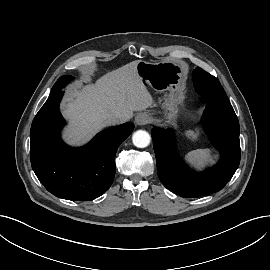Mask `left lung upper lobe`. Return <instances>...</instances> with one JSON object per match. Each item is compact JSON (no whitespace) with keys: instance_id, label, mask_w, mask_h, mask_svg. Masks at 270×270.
I'll use <instances>...</instances> for the list:
<instances>
[{"instance_id":"1","label":"left lung upper lobe","mask_w":270,"mask_h":270,"mask_svg":"<svg viewBox=\"0 0 270 270\" xmlns=\"http://www.w3.org/2000/svg\"><path fill=\"white\" fill-rule=\"evenodd\" d=\"M193 81L196 91L204 101L230 103L219 81L201 68L197 67L193 72Z\"/></svg>"}]
</instances>
